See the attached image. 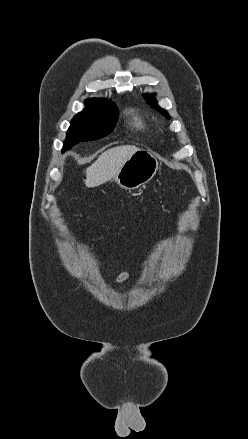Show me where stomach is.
<instances>
[{
	"instance_id": "obj_1",
	"label": "stomach",
	"mask_w": 248,
	"mask_h": 439,
	"mask_svg": "<svg viewBox=\"0 0 248 439\" xmlns=\"http://www.w3.org/2000/svg\"><path fill=\"white\" fill-rule=\"evenodd\" d=\"M158 170L156 157L148 150H137L120 168L111 181L121 188L134 190L148 183Z\"/></svg>"
}]
</instances>
